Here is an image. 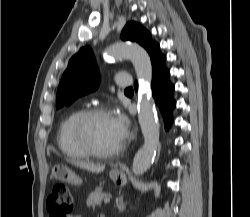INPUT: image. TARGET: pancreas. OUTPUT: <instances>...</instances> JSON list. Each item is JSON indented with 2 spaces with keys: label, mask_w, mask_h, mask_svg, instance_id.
<instances>
[{
  "label": "pancreas",
  "mask_w": 250,
  "mask_h": 217,
  "mask_svg": "<svg viewBox=\"0 0 250 217\" xmlns=\"http://www.w3.org/2000/svg\"><path fill=\"white\" fill-rule=\"evenodd\" d=\"M107 195L102 192L101 188H96L87 198V205L90 207L100 206L104 197Z\"/></svg>",
  "instance_id": "pancreas-1"
}]
</instances>
